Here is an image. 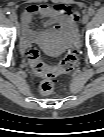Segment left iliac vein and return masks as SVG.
Wrapping results in <instances>:
<instances>
[{
	"label": "left iliac vein",
	"instance_id": "left-iliac-vein-1",
	"mask_svg": "<svg viewBox=\"0 0 104 137\" xmlns=\"http://www.w3.org/2000/svg\"><path fill=\"white\" fill-rule=\"evenodd\" d=\"M88 21H89V16H88V14H84L83 17H82V23H83V24H86Z\"/></svg>",
	"mask_w": 104,
	"mask_h": 137
}]
</instances>
